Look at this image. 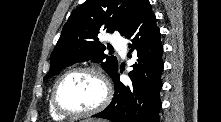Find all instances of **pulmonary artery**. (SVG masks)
Wrapping results in <instances>:
<instances>
[{"instance_id": "pulmonary-artery-1", "label": "pulmonary artery", "mask_w": 221, "mask_h": 122, "mask_svg": "<svg viewBox=\"0 0 221 122\" xmlns=\"http://www.w3.org/2000/svg\"><path fill=\"white\" fill-rule=\"evenodd\" d=\"M112 45L121 53L122 56H125L127 50V44L125 39L115 36L112 38Z\"/></svg>"}]
</instances>
